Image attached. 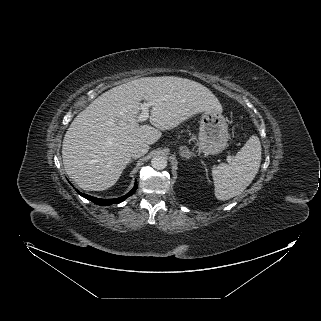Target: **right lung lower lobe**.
Returning a JSON list of instances; mask_svg holds the SVG:
<instances>
[{
	"mask_svg": "<svg viewBox=\"0 0 321 321\" xmlns=\"http://www.w3.org/2000/svg\"><path fill=\"white\" fill-rule=\"evenodd\" d=\"M137 189V181H135V185L133 187V189L127 193L126 195L119 197V198H115V199H100V198H96L84 193H81L79 191H77L82 197L92 201L93 203L97 204V205H102V206H106V205H110V204H114V203H120L122 201H124L126 198H128L129 196L133 195L135 193Z\"/></svg>",
	"mask_w": 321,
	"mask_h": 321,
	"instance_id": "1",
	"label": "right lung lower lobe"
}]
</instances>
